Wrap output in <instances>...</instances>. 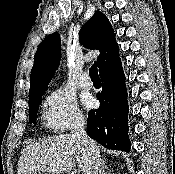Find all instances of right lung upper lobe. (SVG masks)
Wrapping results in <instances>:
<instances>
[{"label":"right lung upper lobe","mask_w":175,"mask_h":174,"mask_svg":"<svg viewBox=\"0 0 175 174\" xmlns=\"http://www.w3.org/2000/svg\"><path fill=\"white\" fill-rule=\"evenodd\" d=\"M80 40L84 47L100 51L97 58L99 72L119 56V47L115 33L108 18L101 12L86 22L80 31ZM61 56V41L58 34L49 35L39 45L34 57L30 76L29 101L42 96L56 71Z\"/></svg>","instance_id":"1"}]
</instances>
